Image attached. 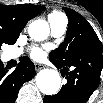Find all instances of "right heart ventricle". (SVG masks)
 <instances>
[{
    "label": "right heart ventricle",
    "mask_w": 103,
    "mask_h": 103,
    "mask_svg": "<svg viewBox=\"0 0 103 103\" xmlns=\"http://www.w3.org/2000/svg\"><path fill=\"white\" fill-rule=\"evenodd\" d=\"M62 14L61 13H58V12H52L48 18H56V17H59L61 16Z\"/></svg>",
    "instance_id": "right-heart-ventricle-1"
}]
</instances>
